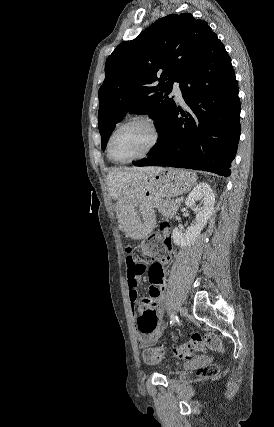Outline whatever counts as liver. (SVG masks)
Masks as SVG:
<instances>
[{"mask_svg": "<svg viewBox=\"0 0 274 427\" xmlns=\"http://www.w3.org/2000/svg\"><path fill=\"white\" fill-rule=\"evenodd\" d=\"M163 168H115L107 174V186L113 200L128 202L136 192V186L143 178L154 176Z\"/></svg>", "mask_w": 274, "mask_h": 427, "instance_id": "6515ba94", "label": "liver"}]
</instances>
